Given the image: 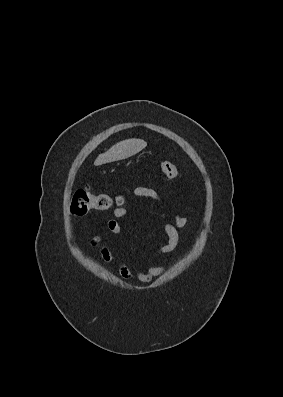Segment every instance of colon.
I'll use <instances>...</instances> for the list:
<instances>
[{
  "label": "colon",
  "mask_w": 283,
  "mask_h": 397,
  "mask_svg": "<svg viewBox=\"0 0 283 397\" xmlns=\"http://www.w3.org/2000/svg\"><path fill=\"white\" fill-rule=\"evenodd\" d=\"M161 172L169 179L179 174L178 167L168 161L161 163ZM122 202L119 197L109 194H94L88 189H78L73 193L70 211L74 215H85L91 210H108Z\"/></svg>",
  "instance_id": "colon-1"
}]
</instances>
